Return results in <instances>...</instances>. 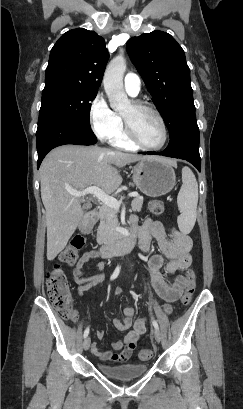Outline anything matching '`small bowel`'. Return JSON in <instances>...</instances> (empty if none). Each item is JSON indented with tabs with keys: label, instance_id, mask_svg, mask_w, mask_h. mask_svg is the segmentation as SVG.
Here are the masks:
<instances>
[{
	"label": "small bowel",
	"instance_id": "1",
	"mask_svg": "<svg viewBox=\"0 0 243 409\" xmlns=\"http://www.w3.org/2000/svg\"><path fill=\"white\" fill-rule=\"evenodd\" d=\"M132 229L138 234L139 243L142 251L148 257V266L151 276V281L154 290L158 296L164 300V311H171V303L178 300L182 294L186 283V278L178 274L174 282L169 284L165 281L162 274V268L167 274H175L177 271L187 268L192 261L191 251L193 243L191 238L178 230L175 227L165 229L164 225L156 219H147L143 224L138 225L136 217L131 218ZM154 237L159 245L161 252L168 258L164 263V258L161 254H155L151 251L150 240ZM99 257L97 250H89L83 253L75 268L72 271V278L75 284L79 285L78 294L83 295L86 290V283L98 284L104 280L103 274H96L91 277L85 276V269L89 263ZM96 269H103L104 264L97 262ZM121 288H116L114 294L120 295ZM134 309L133 307H125L123 309V317L114 320V326L118 331L124 332L122 339L112 342V348L120 350L119 352L104 351L99 348L96 343L92 344V353L104 361H125L134 351L140 335L146 331V319L143 317L137 318L133 324ZM97 337H104L103 331L97 332Z\"/></svg>",
	"mask_w": 243,
	"mask_h": 409
}]
</instances>
